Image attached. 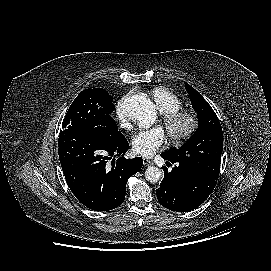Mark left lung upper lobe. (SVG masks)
Returning a JSON list of instances; mask_svg holds the SVG:
<instances>
[{"label": "left lung upper lobe", "mask_w": 271, "mask_h": 271, "mask_svg": "<svg viewBox=\"0 0 271 271\" xmlns=\"http://www.w3.org/2000/svg\"><path fill=\"white\" fill-rule=\"evenodd\" d=\"M186 90L192 107L197 113L199 127L182 147L166 151L164 154L175 162L192 166L218 179L223 149L221 124L211 106L199 92L188 84Z\"/></svg>", "instance_id": "left-lung-upper-lobe-1"}]
</instances>
